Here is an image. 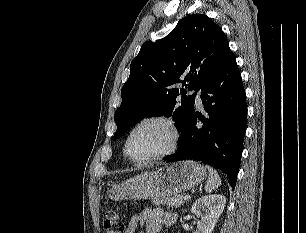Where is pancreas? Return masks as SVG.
I'll use <instances>...</instances> for the list:
<instances>
[{"mask_svg":"<svg viewBox=\"0 0 306 233\" xmlns=\"http://www.w3.org/2000/svg\"><path fill=\"white\" fill-rule=\"evenodd\" d=\"M184 195L179 194V195H174L170 197H164V198H158L154 199L152 201L153 204L159 205V204H166L169 208H179L181 205L185 203Z\"/></svg>","mask_w":306,"mask_h":233,"instance_id":"cf45deb5","label":"pancreas"}]
</instances>
